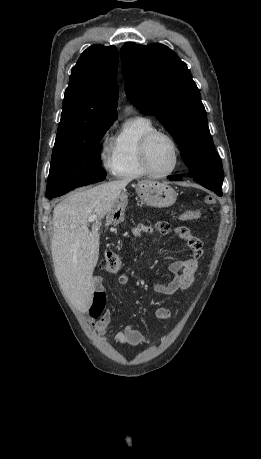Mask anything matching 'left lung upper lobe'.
I'll return each mask as SVG.
<instances>
[{"mask_svg":"<svg viewBox=\"0 0 261 459\" xmlns=\"http://www.w3.org/2000/svg\"><path fill=\"white\" fill-rule=\"evenodd\" d=\"M120 56L127 97L141 113L163 123L179 145L189 174L223 179L206 111L187 65L159 43H125Z\"/></svg>","mask_w":261,"mask_h":459,"instance_id":"1","label":"left lung upper lobe"}]
</instances>
